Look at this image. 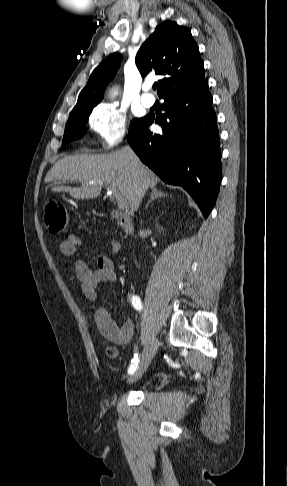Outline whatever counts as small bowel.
Returning a JSON list of instances; mask_svg holds the SVG:
<instances>
[{
	"label": "small bowel",
	"mask_w": 287,
	"mask_h": 486,
	"mask_svg": "<svg viewBox=\"0 0 287 486\" xmlns=\"http://www.w3.org/2000/svg\"><path fill=\"white\" fill-rule=\"evenodd\" d=\"M83 245L80 237L74 234H68L59 244V250L62 255L74 256L78 247ZM121 249V244L112 240L109 242V251L101 254L97 260V268L89 267L84 261L75 262V273L81 282L83 294L92 301L97 300V288L102 282L113 283L116 280L115 264L112 256L117 254ZM95 321L101 334L109 341L124 345L129 343L133 338L134 327L130 320L118 324L110 313L100 308L95 313Z\"/></svg>",
	"instance_id": "small-bowel-1"
}]
</instances>
